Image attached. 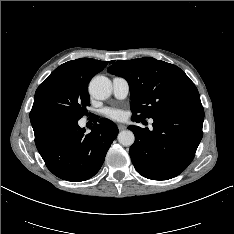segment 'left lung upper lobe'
<instances>
[{"label":"left lung upper lobe","mask_w":234,"mask_h":234,"mask_svg":"<svg viewBox=\"0 0 234 234\" xmlns=\"http://www.w3.org/2000/svg\"><path fill=\"white\" fill-rule=\"evenodd\" d=\"M108 72L128 81L132 118L145 119L201 104L194 83L179 67L151 57L117 61Z\"/></svg>","instance_id":"5c2ea615"}]
</instances>
